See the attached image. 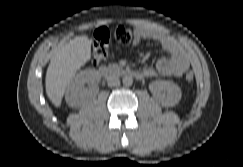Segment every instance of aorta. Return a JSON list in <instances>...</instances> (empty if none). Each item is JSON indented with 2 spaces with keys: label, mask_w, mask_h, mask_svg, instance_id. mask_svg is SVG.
<instances>
[{
  "label": "aorta",
  "mask_w": 243,
  "mask_h": 167,
  "mask_svg": "<svg viewBox=\"0 0 243 167\" xmlns=\"http://www.w3.org/2000/svg\"><path fill=\"white\" fill-rule=\"evenodd\" d=\"M124 86H131L133 84V78L130 75H125L122 79Z\"/></svg>",
  "instance_id": "obj_1"
}]
</instances>
